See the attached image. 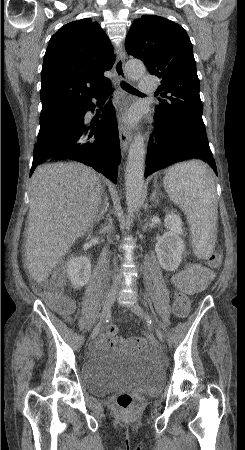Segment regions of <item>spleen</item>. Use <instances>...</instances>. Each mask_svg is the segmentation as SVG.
<instances>
[{
  "label": "spleen",
  "mask_w": 245,
  "mask_h": 450,
  "mask_svg": "<svg viewBox=\"0 0 245 450\" xmlns=\"http://www.w3.org/2000/svg\"><path fill=\"white\" fill-rule=\"evenodd\" d=\"M169 198L184 211L192 235L193 251L208 258L215 246L218 204L211 169L193 160L170 167L164 177Z\"/></svg>",
  "instance_id": "spleen-1"
}]
</instances>
